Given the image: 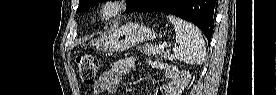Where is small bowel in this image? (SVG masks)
<instances>
[{"label": "small bowel", "mask_w": 277, "mask_h": 95, "mask_svg": "<svg viewBox=\"0 0 277 95\" xmlns=\"http://www.w3.org/2000/svg\"><path fill=\"white\" fill-rule=\"evenodd\" d=\"M135 58L127 57L116 60L110 69L102 73L93 86L94 94H116L122 76L129 73L135 66ZM155 67L160 66V61H153ZM157 95H169V88L162 86L157 89Z\"/></svg>", "instance_id": "1"}]
</instances>
